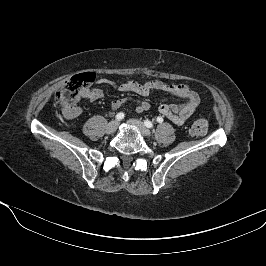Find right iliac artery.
<instances>
[{
  "instance_id": "82829eb1",
  "label": "right iliac artery",
  "mask_w": 266,
  "mask_h": 266,
  "mask_svg": "<svg viewBox=\"0 0 266 266\" xmlns=\"http://www.w3.org/2000/svg\"><path fill=\"white\" fill-rule=\"evenodd\" d=\"M124 113H122V112H120V113H118L117 115H116V120H122L123 118H124Z\"/></svg>"
}]
</instances>
